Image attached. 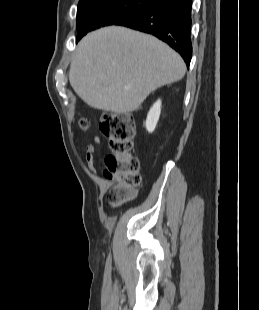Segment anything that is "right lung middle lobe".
<instances>
[{
  "label": "right lung middle lobe",
  "instance_id": "obj_1",
  "mask_svg": "<svg viewBox=\"0 0 259 310\" xmlns=\"http://www.w3.org/2000/svg\"><path fill=\"white\" fill-rule=\"evenodd\" d=\"M155 2L156 0H104L89 7L78 8L76 42L88 32L113 25Z\"/></svg>",
  "mask_w": 259,
  "mask_h": 310
}]
</instances>
